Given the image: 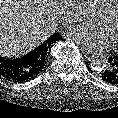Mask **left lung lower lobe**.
<instances>
[{
  "label": "left lung lower lobe",
  "mask_w": 118,
  "mask_h": 118,
  "mask_svg": "<svg viewBox=\"0 0 118 118\" xmlns=\"http://www.w3.org/2000/svg\"><path fill=\"white\" fill-rule=\"evenodd\" d=\"M100 74L104 81L111 84H118V55L108 58V65Z\"/></svg>",
  "instance_id": "1"
}]
</instances>
